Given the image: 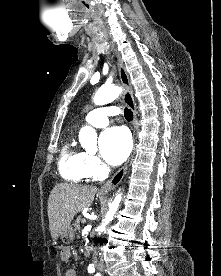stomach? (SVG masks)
Here are the masks:
<instances>
[{"label":"stomach","mask_w":221,"mask_h":276,"mask_svg":"<svg viewBox=\"0 0 221 276\" xmlns=\"http://www.w3.org/2000/svg\"><path fill=\"white\" fill-rule=\"evenodd\" d=\"M61 241L64 244H70L74 240V230L69 226L64 232L60 235Z\"/></svg>","instance_id":"obj_1"}]
</instances>
